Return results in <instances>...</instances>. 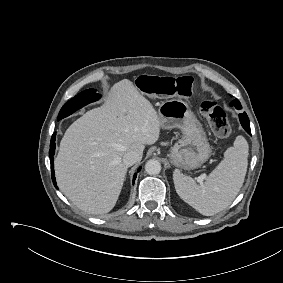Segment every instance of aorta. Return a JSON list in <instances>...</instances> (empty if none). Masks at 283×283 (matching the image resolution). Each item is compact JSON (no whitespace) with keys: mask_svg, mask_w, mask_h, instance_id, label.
<instances>
[{"mask_svg":"<svg viewBox=\"0 0 283 283\" xmlns=\"http://www.w3.org/2000/svg\"><path fill=\"white\" fill-rule=\"evenodd\" d=\"M145 171L149 175H157L161 171V164L158 160L151 159L145 164Z\"/></svg>","mask_w":283,"mask_h":283,"instance_id":"obj_1","label":"aorta"}]
</instances>
